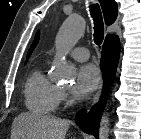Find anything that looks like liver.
Instances as JSON below:
<instances>
[{"mask_svg": "<svg viewBox=\"0 0 141 139\" xmlns=\"http://www.w3.org/2000/svg\"><path fill=\"white\" fill-rule=\"evenodd\" d=\"M69 121L50 114L25 112L15 117L11 139H65Z\"/></svg>", "mask_w": 141, "mask_h": 139, "instance_id": "liver-1", "label": "liver"}]
</instances>
